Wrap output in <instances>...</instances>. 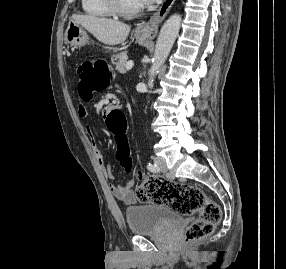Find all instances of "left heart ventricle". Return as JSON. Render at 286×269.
I'll return each mask as SVG.
<instances>
[{
  "label": "left heart ventricle",
  "mask_w": 286,
  "mask_h": 269,
  "mask_svg": "<svg viewBox=\"0 0 286 269\" xmlns=\"http://www.w3.org/2000/svg\"><path fill=\"white\" fill-rule=\"evenodd\" d=\"M122 7L125 9H135L142 6L139 0H120Z\"/></svg>",
  "instance_id": "1"
}]
</instances>
